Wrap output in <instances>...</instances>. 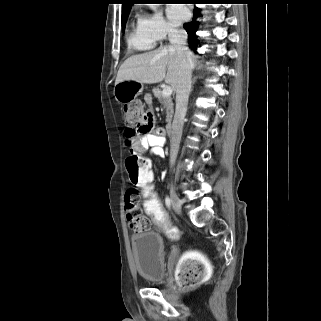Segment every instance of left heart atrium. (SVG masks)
Here are the masks:
<instances>
[{"instance_id":"left-heart-atrium-1","label":"left heart atrium","mask_w":321,"mask_h":321,"mask_svg":"<svg viewBox=\"0 0 321 321\" xmlns=\"http://www.w3.org/2000/svg\"><path fill=\"white\" fill-rule=\"evenodd\" d=\"M167 16L170 22L177 26L180 25L188 16L187 9L180 4H171L167 7Z\"/></svg>"}]
</instances>
